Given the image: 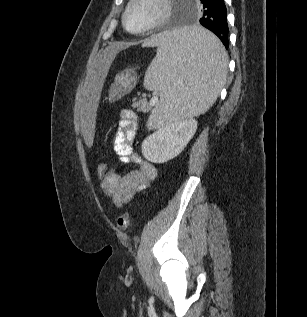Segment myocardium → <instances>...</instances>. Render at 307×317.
Wrapping results in <instances>:
<instances>
[{"label":"myocardium","instance_id":"obj_1","mask_svg":"<svg viewBox=\"0 0 307 317\" xmlns=\"http://www.w3.org/2000/svg\"><path fill=\"white\" fill-rule=\"evenodd\" d=\"M139 0H130L127 4V6L124 9V12L122 14V25L131 34H144L149 31H152L162 25L171 15L172 5L170 0H155V2L158 3L160 6V11L157 15V17L150 22L145 27L138 29V30H131L127 25V16L131 10V8L138 2Z\"/></svg>","mask_w":307,"mask_h":317}]
</instances>
